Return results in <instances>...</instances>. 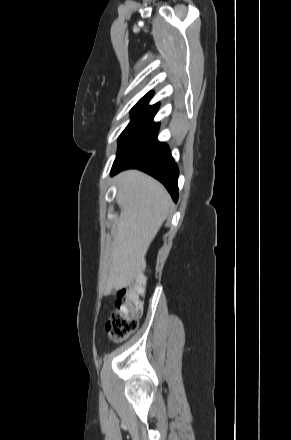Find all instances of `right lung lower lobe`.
Returning a JSON list of instances; mask_svg holds the SVG:
<instances>
[{
  "mask_svg": "<svg viewBox=\"0 0 291 440\" xmlns=\"http://www.w3.org/2000/svg\"><path fill=\"white\" fill-rule=\"evenodd\" d=\"M159 104L151 106L131 136L117 153L111 175L137 168L158 179L164 184L174 201L178 199V167L165 143L157 140L159 123L153 117Z\"/></svg>",
  "mask_w": 291,
  "mask_h": 440,
  "instance_id": "obj_1",
  "label": "right lung lower lobe"
}]
</instances>
